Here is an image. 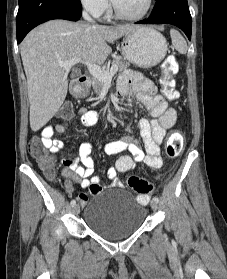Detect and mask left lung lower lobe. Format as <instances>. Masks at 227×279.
I'll return each instance as SVG.
<instances>
[{"instance_id": "left-lung-lower-lobe-1", "label": "left lung lower lobe", "mask_w": 227, "mask_h": 279, "mask_svg": "<svg viewBox=\"0 0 227 279\" xmlns=\"http://www.w3.org/2000/svg\"><path fill=\"white\" fill-rule=\"evenodd\" d=\"M139 24H172L179 27L191 39L192 18L187 0H156L155 7L148 19Z\"/></svg>"}]
</instances>
